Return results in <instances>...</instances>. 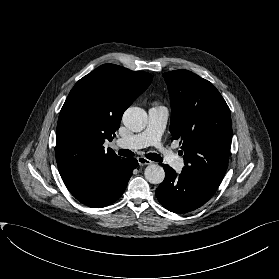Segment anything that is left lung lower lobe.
Wrapping results in <instances>:
<instances>
[{
    "mask_svg": "<svg viewBox=\"0 0 279 279\" xmlns=\"http://www.w3.org/2000/svg\"><path fill=\"white\" fill-rule=\"evenodd\" d=\"M165 179L156 189L155 194L161 205L174 213H187L205 204L217 188L197 177L177 174L165 164Z\"/></svg>",
    "mask_w": 279,
    "mask_h": 279,
    "instance_id": "left-lung-lower-lobe-1",
    "label": "left lung lower lobe"
}]
</instances>
